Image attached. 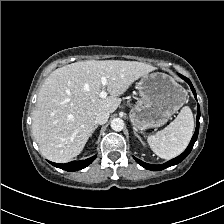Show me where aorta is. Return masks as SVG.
<instances>
[{
	"instance_id": "aorta-1",
	"label": "aorta",
	"mask_w": 224,
	"mask_h": 224,
	"mask_svg": "<svg viewBox=\"0 0 224 224\" xmlns=\"http://www.w3.org/2000/svg\"><path fill=\"white\" fill-rule=\"evenodd\" d=\"M111 128L114 131H121L124 128V121L120 118H114L111 121Z\"/></svg>"
}]
</instances>
